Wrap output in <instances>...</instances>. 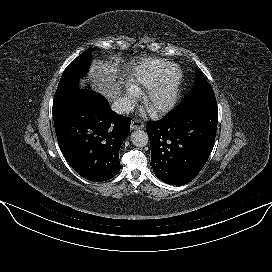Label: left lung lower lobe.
<instances>
[{
    "instance_id": "left-lung-lower-lobe-1",
    "label": "left lung lower lobe",
    "mask_w": 272,
    "mask_h": 272,
    "mask_svg": "<svg viewBox=\"0 0 272 272\" xmlns=\"http://www.w3.org/2000/svg\"><path fill=\"white\" fill-rule=\"evenodd\" d=\"M218 123L216 99L179 104L160 121L148 122L151 165L170 185L192 181L208 160Z\"/></svg>"
}]
</instances>
